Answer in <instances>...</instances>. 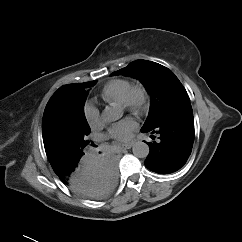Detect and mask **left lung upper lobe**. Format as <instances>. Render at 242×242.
I'll return each mask as SVG.
<instances>
[{"label": "left lung upper lobe", "instance_id": "left-lung-upper-lobe-1", "mask_svg": "<svg viewBox=\"0 0 242 242\" xmlns=\"http://www.w3.org/2000/svg\"><path fill=\"white\" fill-rule=\"evenodd\" d=\"M119 74L139 79L150 94V111L142 128L152 127L172 109L190 102L185 88L175 74L158 63L137 60L112 73V75Z\"/></svg>", "mask_w": 242, "mask_h": 242}]
</instances>
